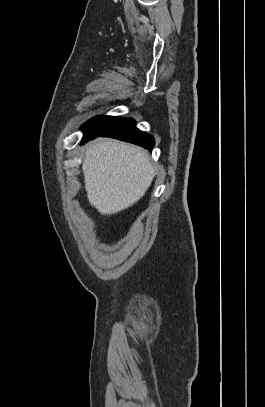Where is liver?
<instances>
[{"label":"liver","instance_id":"6515ba94","mask_svg":"<svg viewBox=\"0 0 265 407\" xmlns=\"http://www.w3.org/2000/svg\"><path fill=\"white\" fill-rule=\"evenodd\" d=\"M82 171L89 203L102 215L138 202L155 176L144 149L111 139H97L88 147Z\"/></svg>","mask_w":265,"mask_h":407}]
</instances>
